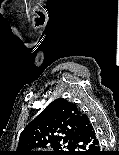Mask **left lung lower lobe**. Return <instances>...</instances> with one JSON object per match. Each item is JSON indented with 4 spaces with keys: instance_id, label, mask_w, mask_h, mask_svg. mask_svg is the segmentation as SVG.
<instances>
[{
    "instance_id": "1",
    "label": "left lung lower lobe",
    "mask_w": 119,
    "mask_h": 155,
    "mask_svg": "<svg viewBox=\"0 0 119 155\" xmlns=\"http://www.w3.org/2000/svg\"><path fill=\"white\" fill-rule=\"evenodd\" d=\"M74 145L79 150L76 155H104L92 122L87 115L80 116L74 138Z\"/></svg>"
}]
</instances>
